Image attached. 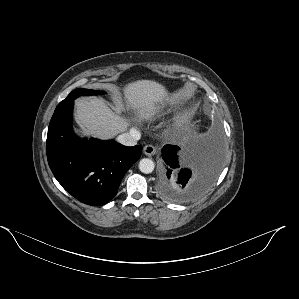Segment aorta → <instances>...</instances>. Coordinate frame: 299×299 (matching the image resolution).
<instances>
[{
  "label": "aorta",
  "mask_w": 299,
  "mask_h": 299,
  "mask_svg": "<svg viewBox=\"0 0 299 299\" xmlns=\"http://www.w3.org/2000/svg\"><path fill=\"white\" fill-rule=\"evenodd\" d=\"M154 168H155V164L149 158H143L139 162V170L142 173L149 174V173L153 172Z\"/></svg>",
  "instance_id": "aorta-1"
}]
</instances>
